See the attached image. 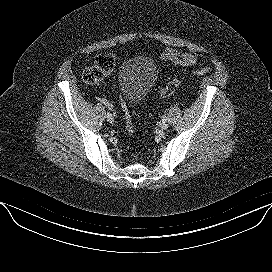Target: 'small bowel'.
<instances>
[{
  "instance_id": "1",
  "label": "small bowel",
  "mask_w": 272,
  "mask_h": 272,
  "mask_svg": "<svg viewBox=\"0 0 272 272\" xmlns=\"http://www.w3.org/2000/svg\"><path fill=\"white\" fill-rule=\"evenodd\" d=\"M162 56L167 61H170L182 67L192 66L196 64L198 61L197 54L192 51L182 53V52H178V51L166 48L163 50Z\"/></svg>"
}]
</instances>
